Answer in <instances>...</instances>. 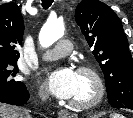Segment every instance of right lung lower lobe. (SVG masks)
Returning <instances> with one entry per match:
<instances>
[{
    "label": "right lung lower lobe",
    "instance_id": "98d812e1",
    "mask_svg": "<svg viewBox=\"0 0 133 118\" xmlns=\"http://www.w3.org/2000/svg\"><path fill=\"white\" fill-rule=\"evenodd\" d=\"M29 99V92L25 84L11 89L0 90V102L11 105H23Z\"/></svg>",
    "mask_w": 133,
    "mask_h": 118
}]
</instances>
